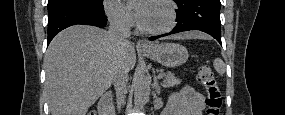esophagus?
<instances>
[{
  "label": "esophagus",
  "instance_id": "esophagus-1",
  "mask_svg": "<svg viewBox=\"0 0 285 115\" xmlns=\"http://www.w3.org/2000/svg\"><path fill=\"white\" fill-rule=\"evenodd\" d=\"M136 47L137 48H140V49H146V48H150L151 45L144 39H139L137 42H136Z\"/></svg>",
  "mask_w": 285,
  "mask_h": 115
}]
</instances>
